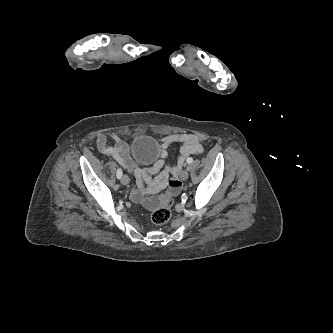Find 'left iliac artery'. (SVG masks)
<instances>
[{
  "label": "left iliac artery",
  "mask_w": 333,
  "mask_h": 333,
  "mask_svg": "<svg viewBox=\"0 0 333 333\" xmlns=\"http://www.w3.org/2000/svg\"><path fill=\"white\" fill-rule=\"evenodd\" d=\"M192 162H193V159H192V158H188V159H187V163H188V164H191ZM187 170H189V167H187Z\"/></svg>",
  "instance_id": "obj_1"
}]
</instances>
